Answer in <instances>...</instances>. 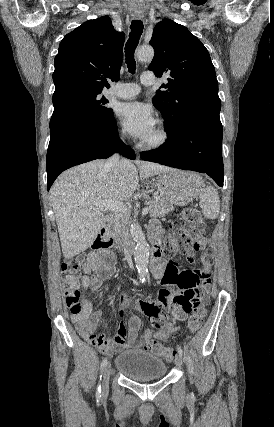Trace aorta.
Returning <instances> with one entry per match:
<instances>
[{"label":"aorta","instance_id":"aorta-1","mask_svg":"<svg viewBox=\"0 0 274 427\" xmlns=\"http://www.w3.org/2000/svg\"><path fill=\"white\" fill-rule=\"evenodd\" d=\"M154 57L152 47L143 46L137 51V58L141 62H150ZM131 236L136 243L134 251V260L139 273L140 279H145L148 271L149 260V244L146 241L145 235L138 223L131 225Z\"/></svg>","mask_w":274,"mask_h":427}]
</instances>
